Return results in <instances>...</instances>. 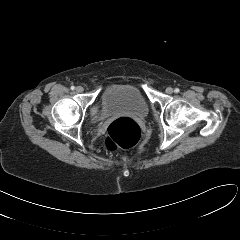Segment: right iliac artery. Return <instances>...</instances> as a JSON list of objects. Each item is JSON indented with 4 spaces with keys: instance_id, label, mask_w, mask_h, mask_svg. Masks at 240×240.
<instances>
[{
    "instance_id": "obj_1",
    "label": "right iliac artery",
    "mask_w": 240,
    "mask_h": 240,
    "mask_svg": "<svg viewBox=\"0 0 240 240\" xmlns=\"http://www.w3.org/2000/svg\"><path fill=\"white\" fill-rule=\"evenodd\" d=\"M75 89V87L74 86H71V90H74Z\"/></svg>"
}]
</instances>
